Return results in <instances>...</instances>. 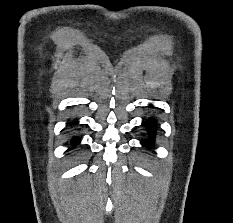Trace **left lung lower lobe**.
Instances as JSON below:
<instances>
[{
  "mask_svg": "<svg viewBox=\"0 0 233 223\" xmlns=\"http://www.w3.org/2000/svg\"><path fill=\"white\" fill-rule=\"evenodd\" d=\"M143 125L146 126L147 128H149V130L153 136V134L155 132V126H156L155 121H153V120L145 121V122H143ZM142 145L151 147L153 145V138L142 141Z\"/></svg>",
  "mask_w": 233,
  "mask_h": 223,
  "instance_id": "0a47b994",
  "label": "left lung lower lobe"
}]
</instances>
